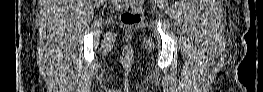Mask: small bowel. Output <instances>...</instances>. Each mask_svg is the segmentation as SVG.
Instances as JSON below:
<instances>
[{
	"instance_id": "c3829d8e",
	"label": "small bowel",
	"mask_w": 263,
	"mask_h": 92,
	"mask_svg": "<svg viewBox=\"0 0 263 92\" xmlns=\"http://www.w3.org/2000/svg\"><path fill=\"white\" fill-rule=\"evenodd\" d=\"M120 2H124V3H132V1H120Z\"/></svg>"
}]
</instances>
